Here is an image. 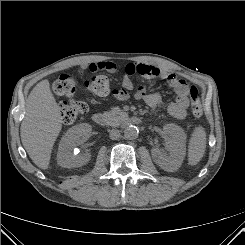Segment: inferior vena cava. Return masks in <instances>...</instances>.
I'll return each mask as SVG.
<instances>
[{
  "mask_svg": "<svg viewBox=\"0 0 245 245\" xmlns=\"http://www.w3.org/2000/svg\"><path fill=\"white\" fill-rule=\"evenodd\" d=\"M109 136L112 140H116L120 137V131L117 129H111L109 131Z\"/></svg>",
  "mask_w": 245,
  "mask_h": 245,
  "instance_id": "inferior-vena-cava-1",
  "label": "inferior vena cava"
}]
</instances>
